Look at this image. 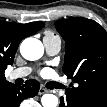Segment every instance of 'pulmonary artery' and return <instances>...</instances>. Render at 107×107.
<instances>
[{
    "instance_id": "obj_1",
    "label": "pulmonary artery",
    "mask_w": 107,
    "mask_h": 107,
    "mask_svg": "<svg viewBox=\"0 0 107 107\" xmlns=\"http://www.w3.org/2000/svg\"><path fill=\"white\" fill-rule=\"evenodd\" d=\"M43 44L47 54L50 56L58 54L61 49V39L58 36H45L43 39ZM31 71L32 70L30 67H21L13 70L10 73L9 78L11 80L17 78H24L28 76L31 73Z\"/></svg>"
}]
</instances>
